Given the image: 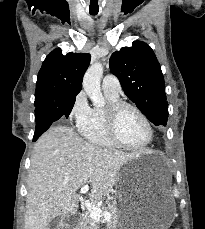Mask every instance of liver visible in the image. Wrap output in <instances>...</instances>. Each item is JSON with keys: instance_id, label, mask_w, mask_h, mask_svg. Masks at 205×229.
<instances>
[{"instance_id": "obj_1", "label": "liver", "mask_w": 205, "mask_h": 229, "mask_svg": "<svg viewBox=\"0 0 205 229\" xmlns=\"http://www.w3.org/2000/svg\"><path fill=\"white\" fill-rule=\"evenodd\" d=\"M136 157L94 146L69 127H51L31 155L25 229H48L55 217L76 213L77 191L87 183L90 200L100 201L113 191L121 167Z\"/></svg>"}]
</instances>
